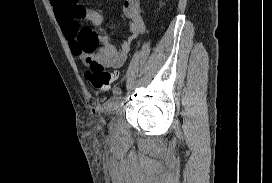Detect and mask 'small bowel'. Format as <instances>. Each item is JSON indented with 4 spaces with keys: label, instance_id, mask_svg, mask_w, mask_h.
Here are the masks:
<instances>
[{
    "label": "small bowel",
    "instance_id": "obj_1",
    "mask_svg": "<svg viewBox=\"0 0 272 183\" xmlns=\"http://www.w3.org/2000/svg\"><path fill=\"white\" fill-rule=\"evenodd\" d=\"M50 1L72 53L82 63L94 60L105 67L119 69L125 64L133 42L145 32L140 0L123 2L122 11L129 21V36L120 47L112 42L99 11L82 6L78 0Z\"/></svg>",
    "mask_w": 272,
    "mask_h": 183
}]
</instances>
